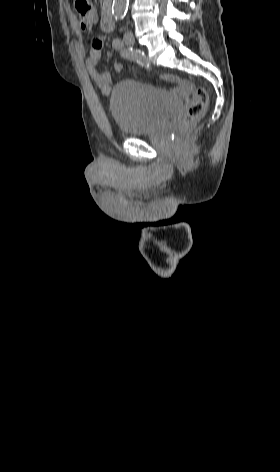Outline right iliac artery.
<instances>
[{"label":"right iliac artery","instance_id":"right-iliac-artery-1","mask_svg":"<svg viewBox=\"0 0 280 472\" xmlns=\"http://www.w3.org/2000/svg\"><path fill=\"white\" fill-rule=\"evenodd\" d=\"M121 55L126 59L137 62L148 70L150 69V61L148 57L144 54V52L138 49L124 48L121 50Z\"/></svg>","mask_w":280,"mask_h":472}]
</instances>
